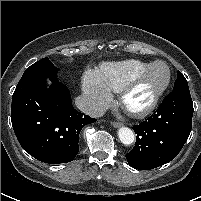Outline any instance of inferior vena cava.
<instances>
[{"label":"inferior vena cava","mask_w":201,"mask_h":201,"mask_svg":"<svg viewBox=\"0 0 201 201\" xmlns=\"http://www.w3.org/2000/svg\"><path fill=\"white\" fill-rule=\"evenodd\" d=\"M75 104L79 110L94 118L103 116L106 111L98 102L84 95L78 96L75 100Z\"/></svg>","instance_id":"inferior-vena-cava-1"}]
</instances>
